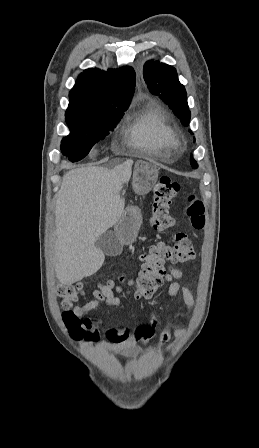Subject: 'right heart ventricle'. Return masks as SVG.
Wrapping results in <instances>:
<instances>
[{"instance_id":"e07e8e85","label":"right heart ventricle","mask_w":259,"mask_h":448,"mask_svg":"<svg viewBox=\"0 0 259 448\" xmlns=\"http://www.w3.org/2000/svg\"><path fill=\"white\" fill-rule=\"evenodd\" d=\"M122 128L135 147L146 151H151V148L172 150L174 130L165 116L157 110H149L144 105L134 108L124 117Z\"/></svg>"}]
</instances>
